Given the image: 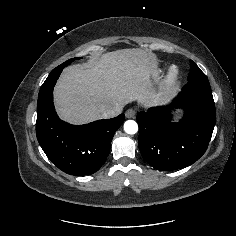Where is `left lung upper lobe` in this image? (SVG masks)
<instances>
[{
  "instance_id": "5c2ea615",
  "label": "left lung upper lobe",
  "mask_w": 236,
  "mask_h": 236,
  "mask_svg": "<svg viewBox=\"0 0 236 236\" xmlns=\"http://www.w3.org/2000/svg\"><path fill=\"white\" fill-rule=\"evenodd\" d=\"M190 69H191V72L188 77V82L208 80L206 75L200 70V68L192 60H190Z\"/></svg>"
}]
</instances>
